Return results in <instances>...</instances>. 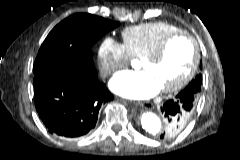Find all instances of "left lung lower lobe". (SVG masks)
Instances as JSON below:
<instances>
[{"label":"left lung lower lobe","mask_w":240,"mask_h":160,"mask_svg":"<svg viewBox=\"0 0 240 160\" xmlns=\"http://www.w3.org/2000/svg\"><path fill=\"white\" fill-rule=\"evenodd\" d=\"M198 94L195 93L193 86L186 87L181 91L174 100H169L161 107V112L164 114L170 131L176 128L184 127L186 124L180 122L181 116L194 111L197 103Z\"/></svg>","instance_id":"1"}]
</instances>
